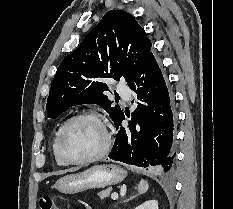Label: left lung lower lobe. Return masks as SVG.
<instances>
[{"instance_id": "1", "label": "left lung lower lobe", "mask_w": 233, "mask_h": 209, "mask_svg": "<svg viewBox=\"0 0 233 209\" xmlns=\"http://www.w3.org/2000/svg\"><path fill=\"white\" fill-rule=\"evenodd\" d=\"M128 86L141 103L132 114L129 128L121 125L124 112L114 122L118 133L109 158L147 170L168 172L175 156L172 150L174 118L164 77L152 53Z\"/></svg>"}]
</instances>
